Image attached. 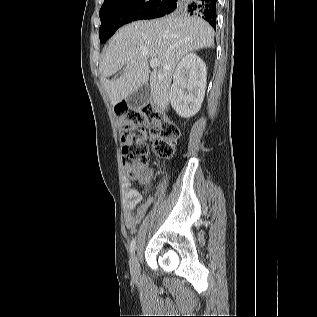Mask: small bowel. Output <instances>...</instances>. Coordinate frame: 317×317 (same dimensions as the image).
Returning a JSON list of instances; mask_svg holds the SVG:
<instances>
[{
    "label": "small bowel",
    "instance_id": "small-bowel-1",
    "mask_svg": "<svg viewBox=\"0 0 317 317\" xmlns=\"http://www.w3.org/2000/svg\"><path fill=\"white\" fill-rule=\"evenodd\" d=\"M150 179V174H146L143 178L144 182H148ZM126 196L128 199L125 213V226L129 230H133L136 226L142 221L145 216L148 208L152 203V199H148L145 203L140 204L142 201L141 194L135 189H127ZM137 208L136 213H133V210Z\"/></svg>",
    "mask_w": 317,
    "mask_h": 317
}]
</instances>
